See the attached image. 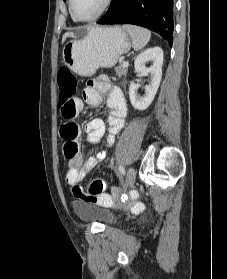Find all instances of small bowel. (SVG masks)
I'll return each instance as SVG.
<instances>
[{"label": "small bowel", "mask_w": 227, "mask_h": 279, "mask_svg": "<svg viewBox=\"0 0 227 279\" xmlns=\"http://www.w3.org/2000/svg\"><path fill=\"white\" fill-rule=\"evenodd\" d=\"M104 97L107 98V106L109 108V114L107 116L108 128L106 129L105 122L99 118L90 120L84 127L87 141L92 146H98L103 137H105V142L111 145L115 135L122 129L124 119L127 115L126 100L120 88L106 79H94L87 82L83 90V100L86 104L93 107L100 106ZM75 101L77 103V114H80L83 111L84 103L79 99ZM68 123L76 125L80 133V126L78 124L74 122ZM76 143H78V137L76 138ZM105 158L106 152H99L82 163L81 156L77 154L74 158L69 160L68 171L65 175L66 183L72 187L73 191L76 188H80L78 183L93 170L98 163L104 161ZM129 207L141 210L142 204L140 202H131Z\"/></svg>", "instance_id": "obj_1"}]
</instances>
